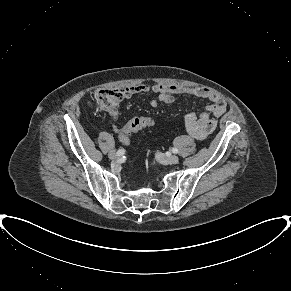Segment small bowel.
<instances>
[{
	"label": "small bowel",
	"mask_w": 291,
	"mask_h": 291,
	"mask_svg": "<svg viewBox=\"0 0 291 291\" xmlns=\"http://www.w3.org/2000/svg\"><path fill=\"white\" fill-rule=\"evenodd\" d=\"M155 93L157 99L150 101V106L156 109L159 103L171 104L174 96L178 94H188L195 97L208 99L211 104L201 113L190 112L184 118V125L187 133L198 140H204L215 129L216 121L211 118V114L216 117L223 115L227 110L225 100L214 91L208 88H185L178 85L164 84H139L124 89L125 99H129L136 94ZM108 115L116 120L119 116L118 109L113 107L107 110Z\"/></svg>",
	"instance_id": "small-bowel-1"
}]
</instances>
